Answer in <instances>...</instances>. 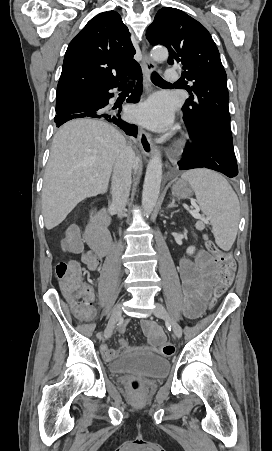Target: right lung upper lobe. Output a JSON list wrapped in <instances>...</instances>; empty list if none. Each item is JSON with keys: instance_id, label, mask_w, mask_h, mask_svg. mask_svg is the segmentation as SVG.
Masks as SVG:
<instances>
[{"instance_id": "1", "label": "right lung upper lobe", "mask_w": 272, "mask_h": 451, "mask_svg": "<svg viewBox=\"0 0 272 451\" xmlns=\"http://www.w3.org/2000/svg\"><path fill=\"white\" fill-rule=\"evenodd\" d=\"M135 53L121 16L115 11L98 14L67 48L57 98L116 85L139 67Z\"/></svg>"}]
</instances>
